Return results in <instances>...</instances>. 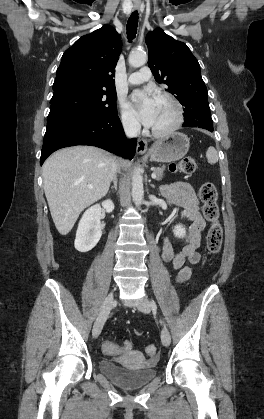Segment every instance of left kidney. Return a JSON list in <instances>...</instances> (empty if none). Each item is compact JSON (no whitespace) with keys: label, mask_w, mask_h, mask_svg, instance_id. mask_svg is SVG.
<instances>
[{"label":"left kidney","mask_w":264,"mask_h":419,"mask_svg":"<svg viewBox=\"0 0 264 419\" xmlns=\"http://www.w3.org/2000/svg\"><path fill=\"white\" fill-rule=\"evenodd\" d=\"M173 233L176 237L183 238L186 234L185 227H183L181 224L176 225L173 229Z\"/></svg>","instance_id":"left-kidney-1"}]
</instances>
